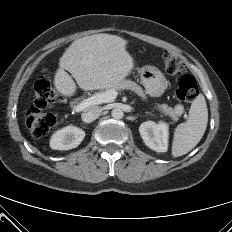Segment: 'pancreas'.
I'll list each match as a JSON object with an SVG mask.
<instances>
[{
    "mask_svg": "<svg viewBox=\"0 0 232 232\" xmlns=\"http://www.w3.org/2000/svg\"><path fill=\"white\" fill-rule=\"evenodd\" d=\"M131 90L133 92H135L138 96H140L143 100H145L146 94L144 93L143 89L137 85L135 82L130 81V80H123L121 82H119L118 84L107 88L105 91L100 92V93H104L107 92L109 90H116V91H120V90ZM99 94V93H98ZM162 113H164L166 116H169L173 121H178L181 113L177 112L175 109H173L172 107H168V105L166 104H162V105H158L157 107Z\"/></svg>",
    "mask_w": 232,
    "mask_h": 232,
    "instance_id": "obj_1",
    "label": "pancreas"
}]
</instances>
